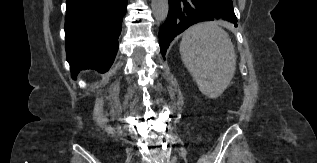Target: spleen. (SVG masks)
<instances>
[{"label": "spleen", "mask_w": 317, "mask_h": 163, "mask_svg": "<svg viewBox=\"0 0 317 163\" xmlns=\"http://www.w3.org/2000/svg\"><path fill=\"white\" fill-rule=\"evenodd\" d=\"M181 59L209 98H217L230 84L236 54L229 35L216 23L204 22L186 30L180 43Z\"/></svg>", "instance_id": "1"}]
</instances>
